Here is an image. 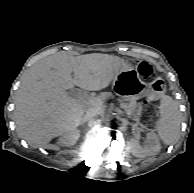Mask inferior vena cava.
Instances as JSON below:
<instances>
[{"label": "inferior vena cava", "instance_id": "inferior-vena-cava-1", "mask_svg": "<svg viewBox=\"0 0 194 193\" xmlns=\"http://www.w3.org/2000/svg\"><path fill=\"white\" fill-rule=\"evenodd\" d=\"M99 110L97 108H89L87 109L85 115H84V120H90L96 116L99 115Z\"/></svg>", "mask_w": 194, "mask_h": 193}]
</instances>
